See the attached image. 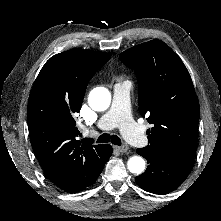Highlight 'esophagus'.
<instances>
[{
	"mask_svg": "<svg viewBox=\"0 0 221 221\" xmlns=\"http://www.w3.org/2000/svg\"><path fill=\"white\" fill-rule=\"evenodd\" d=\"M114 149L120 153H125L128 151L129 147L128 145L124 144L122 146H114Z\"/></svg>",
	"mask_w": 221,
	"mask_h": 221,
	"instance_id": "obj_1",
	"label": "esophagus"
}]
</instances>
